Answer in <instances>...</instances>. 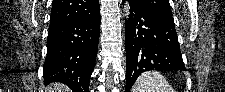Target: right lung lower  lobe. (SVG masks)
Listing matches in <instances>:
<instances>
[{
    "label": "right lung lower lobe",
    "mask_w": 225,
    "mask_h": 92,
    "mask_svg": "<svg viewBox=\"0 0 225 92\" xmlns=\"http://www.w3.org/2000/svg\"><path fill=\"white\" fill-rule=\"evenodd\" d=\"M100 33V11L49 29L44 82H61L73 92H88Z\"/></svg>",
    "instance_id": "obj_1"
}]
</instances>
